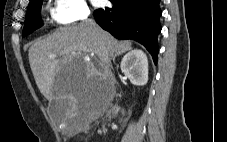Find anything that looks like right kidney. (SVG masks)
I'll list each match as a JSON object with an SVG mask.
<instances>
[{
    "mask_svg": "<svg viewBox=\"0 0 227 142\" xmlns=\"http://www.w3.org/2000/svg\"><path fill=\"white\" fill-rule=\"evenodd\" d=\"M121 71L133 85L144 86L148 81V60L139 49L128 52L121 61Z\"/></svg>",
    "mask_w": 227,
    "mask_h": 142,
    "instance_id": "1",
    "label": "right kidney"
}]
</instances>
